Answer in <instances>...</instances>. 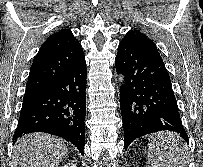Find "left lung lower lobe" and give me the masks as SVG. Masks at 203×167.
Masks as SVG:
<instances>
[{
    "instance_id": "obj_1",
    "label": "left lung lower lobe",
    "mask_w": 203,
    "mask_h": 167,
    "mask_svg": "<svg viewBox=\"0 0 203 167\" xmlns=\"http://www.w3.org/2000/svg\"><path fill=\"white\" fill-rule=\"evenodd\" d=\"M115 65L124 75L120 88L124 148L141 136L165 130L179 133L188 143L162 58L122 40Z\"/></svg>"
}]
</instances>
